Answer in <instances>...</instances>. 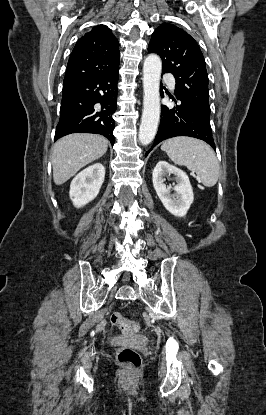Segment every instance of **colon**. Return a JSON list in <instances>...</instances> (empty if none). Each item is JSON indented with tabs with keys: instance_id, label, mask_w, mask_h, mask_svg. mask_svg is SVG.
I'll use <instances>...</instances> for the list:
<instances>
[{
	"instance_id": "obj_1",
	"label": "colon",
	"mask_w": 266,
	"mask_h": 415,
	"mask_svg": "<svg viewBox=\"0 0 266 415\" xmlns=\"http://www.w3.org/2000/svg\"><path fill=\"white\" fill-rule=\"evenodd\" d=\"M111 323L125 334L137 333L140 325L137 321L128 320L118 312L110 316ZM117 360L119 364L129 371H135L140 367V354L130 347H119L117 350Z\"/></svg>"
}]
</instances>
